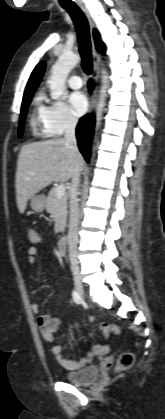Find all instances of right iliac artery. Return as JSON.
<instances>
[{
    "label": "right iliac artery",
    "instance_id": "right-iliac-artery-1",
    "mask_svg": "<svg viewBox=\"0 0 165 419\" xmlns=\"http://www.w3.org/2000/svg\"><path fill=\"white\" fill-rule=\"evenodd\" d=\"M72 297H73V300H74V302L76 304H80L81 303V298H80V296H79V294H78V292L76 290H73Z\"/></svg>",
    "mask_w": 165,
    "mask_h": 419
}]
</instances>
